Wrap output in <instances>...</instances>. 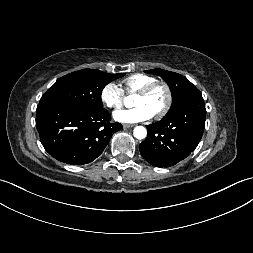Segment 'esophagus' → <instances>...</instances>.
<instances>
[{"label":"esophagus","instance_id":"34e87169","mask_svg":"<svg viewBox=\"0 0 253 253\" xmlns=\"http://www.w3.org/2000/svg\"><path fill=\"white\" fill-rule=\"evenodd\" d=\"M134 126H135V124H123V128H131Z\"/></svg>","mask_w":253,"mask_h":253}]
</instances>
